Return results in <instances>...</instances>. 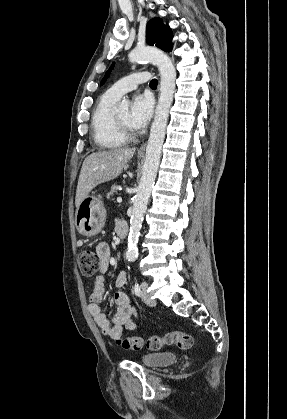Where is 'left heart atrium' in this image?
<instances>
[{"instance_id": "39dd6f15", "label": "left heart atrium", "mask_w": 287, "mask_h": 419, "mask_svg": "<svg viewBox=\"0 0 287 419\" xmlns=\"http://www.w3.org/2000/svg\"><path fill=\"white\" fill-rule=\"evenodd\" d=\"M153 99L148 94H137L133 97L129 111V126L134 130L143 129L153 113Z\"/></svg>"}]
</instances>
